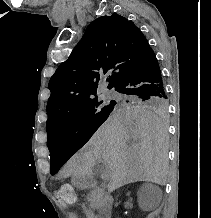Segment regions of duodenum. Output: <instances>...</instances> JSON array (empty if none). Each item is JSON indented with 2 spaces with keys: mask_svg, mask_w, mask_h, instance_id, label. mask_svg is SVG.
<instances>
[{
  "mask_svg": "<svg viewBox=\"0 0 211 218\" xmlns=\"http://www.w3.org/2000/svg\"><path fill=\"white\" fill-rule=\"evenodd\" d=\"M81 181L83 185L87 187H92L96 185L95 178L89 173H84L81 177ZM111 212H112V199L108 197L105 199L102 205L101 218H111Z\"/></svg>",
  "mask_w": 211,
  "mask_h": 218,
  "instance_id": "obj_1",
  "label": "duodenum"
}]
</instances>
